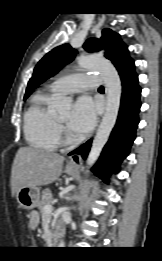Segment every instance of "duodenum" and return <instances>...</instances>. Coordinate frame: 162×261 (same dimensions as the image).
<instances>
[{
  "mask_svg": "<svg viewBox=\"0 0 162 261\" xmlns=\"http://www.w3.org/2000/svg\"><path fill=\"white\" fill-rule=\"evenodd\" d=\"M62 235H63V229L62 228H58L56 233H54L51 236V243H52V245H56Z\"/></svg>",
  "mask_w": 162,
  "mask_h": 261,
  "instance_id": "obj_1",
  "label": "duodenum"
}]
</instances>
